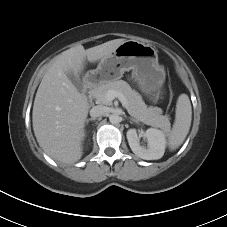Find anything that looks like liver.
Instances as JSON below:
<instances>
[{"label": "liver", "instance_id": "obj_1", "mask_svg": "<svg viewBox=\"0 0 227 227\" xmlns=\"http://www.w3.org/2000/svg\"><path fill=\"white\" fill-rule=\"evenodd\" d=\"M123 42L115 39L87 50L82 45L70 48L56 57L43 76L33 105V130L39 146L54 160L72 164L83 154L81 141L89 104L67 74L79 77L86 60H102Z\"/></svg>", "mask_w": 227, "mask_h": 227}]
</instances>
